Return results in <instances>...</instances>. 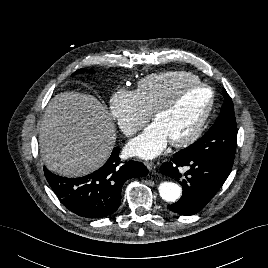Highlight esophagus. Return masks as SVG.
I'll return each instance as SVG.
<instances>
[{
	"mask_svg": "<svg viewBox=\"0 0 268 268\" xmlns=\"http://www.w3.org/2000/svg\"><path fill=\"white\" fill-rule=\"evenodd\" d=\"M145 166L147 167L148 170H153L155 168V165L151 161H145L144 162Z\"/></svg>",
	"mask_w": 268,
	"mask_h": 268,
	"instance_id": "obj_1",
	"label": "esophagus"
}]
</instances>
